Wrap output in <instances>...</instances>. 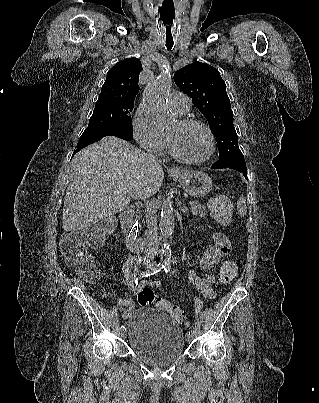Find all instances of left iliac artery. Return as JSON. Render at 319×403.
Returning a JSON list of instances; mask_svg holds the SVG:
<instances>
[{
	"label": "left iliac artery",
	"instance_id": "obj_1",
	"mask_svg": "<svg viewBox=\"0 0 319 403\" xmlns=\"http://www.w3.org/2000/svg\"><path fill=\"white\" fill-rule=\"evenodd\" d=\"M164 271H165V273L167 274V273H170V271H171V264H170V262H166L165 263V265H164ZM189 335H194V331H190L189 332Z\"/></svg>",
	"mask_w": 319,
	"mask_h": 403
}]
</instances>
